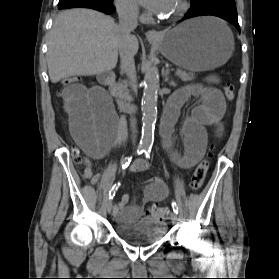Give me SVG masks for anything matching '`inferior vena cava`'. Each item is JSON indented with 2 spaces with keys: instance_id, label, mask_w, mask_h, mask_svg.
Instances as JSON below:
<instances>
[{
  "instance_id": "602c4592",
  "label": "inferior vena cava",
  "mask_w": 279,
  "mask_h": 279,
  "mask_svg": "<svg viewBox=\"0 0 279 279\" xmlns=\"http://www.w3.org/2000/svg\"><path fill=\"white\" fill-rule=\"evenodd\" d=\"M119 16V30H120V40H119V53L121 57V68L127 74L130 79L132 87H134V60L131 54L128 38L130 33L136 29L138 25V10L133 5H121L118 7ZM136 118L134 116L130 119V126L133 132V142L136 138Z\"/></svg>"
}]
</instances>
